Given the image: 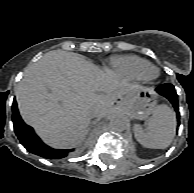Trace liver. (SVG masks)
Returning <instances> with one entry per match:
<instances>
[{
    "mask_svg": "<svg viewBox=\"0 0 194 193\" xmlns=\"http://www.w3.org/2000/svg\"><path fill=\"white\" fill-rule=\"evenodd\" d=\"M142 87L82 56L47 52L28 66L15 95L23 120L54 148L74 146L93 117L121 110L118 99Z\"/></svg>",
    "mask_w": 194,
    "mask_h": 193,
    "instance_id": "obj_1",
    "label": "liver"
}]
</instances>
